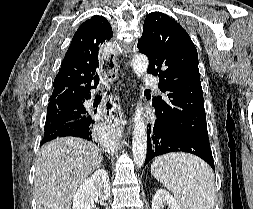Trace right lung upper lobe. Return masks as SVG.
Instances as JSON below:
<instances>
[{
  "label": "right lung upper lobe",
  "mask_w": 253,
  "mask_h": 209,
  "mask_svg": "<svg viewBox=\"0 0 253 209\" xmlns=\"http://www.w3.org/2000/svg\"><path fill=\"white\" fill-rule=\"evenodd\" d=\"M111 37L112 28L103 16H93L78 28L55 77L48 108L76 103L91 95L99 79L100 47Z\"/></svg>",
  "instance_id": "1"
}]
</instances>
